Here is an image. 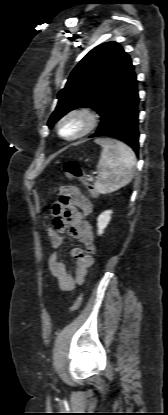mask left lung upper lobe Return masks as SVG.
Masks as SVG:
<instances>
[{
    "instance_id": "1",
    "label": "left lung upper lobe",
    "mask_w": 168,
    "mask_h": 415,
    "mask_svg": "<svg viewBox=\"0 0 168 415\" xmlns=\"http://www.w3.org/2000/svg\"><path fill=\"white\" fill-rule=\"evenodd\" d=\"M134 75L131 58L118 43L96 46L78 63L58 93V104L48 126L52 128L61 117L76 108L90 107L101 115Z\"/></svg>"
}]
</instances>
